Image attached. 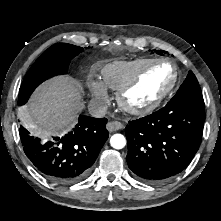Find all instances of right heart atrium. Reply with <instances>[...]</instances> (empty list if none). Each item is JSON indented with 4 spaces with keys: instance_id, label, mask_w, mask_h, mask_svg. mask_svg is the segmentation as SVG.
Returning a JSON list of instances; mask_svg holds the SVG:
<instances>
[{
    "instance_id": "d8ad5b80",
    "label": "right heart atrium",
    "mask_w": 221,
    "mask_h": 221,
    "mask_svg": "<svg viewBox=\"0 0 221 221\" xmlns=\"http://www.w3.org/2000/svg\"><path fill=\"white\" fill-rule=\"evenodd\" d=\"M87 88L94 101L104 104L109 100V91L104 83L96 79H88L86 81Z\"/></svg>"
}]
</instances>
